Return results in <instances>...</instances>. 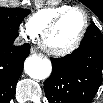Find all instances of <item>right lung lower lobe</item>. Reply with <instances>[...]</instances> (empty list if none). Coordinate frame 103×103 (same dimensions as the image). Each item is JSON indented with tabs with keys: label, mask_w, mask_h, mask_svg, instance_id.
Instances as JSON below:
<instances>
[{
	"label": "right lung lower lobe",
	"mask_w": 103,
	"mask_h": 103,
	"mask_svg": "<svg viewBox=\"0 0 103 103\" xmlns=\"http://www.w3.org/2000/svg\"><path fill=\"white\" fill-rule=\"evenodd\" d=\"M16 37L0 31V103L9 102L14 96L24 60L29 55L30 45L15 46Z\"/></svg>",
	"instance_id": "98d812e1"
}]
</instances>
